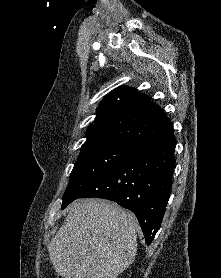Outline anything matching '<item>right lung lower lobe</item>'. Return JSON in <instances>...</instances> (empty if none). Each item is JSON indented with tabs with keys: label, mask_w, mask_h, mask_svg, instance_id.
Returning <instances> with one entry per match:
<instances>
[{
	"label": "right lung lower lobe",
	"mask_w": 221,
	"mask_h": 278,
	"mask_svg": "<svg viewBox=\"0 0 221 278\" xmlns=\"http://www.w3.org/2000/svg\"><path fill=\"white\" fill-rule=\"evenodd\" d=\"M175 145L174 133L134 145L126 159L96 179L78 198L108 199L131 210L149 245L160 228L170 197Z\"/></svg>",
	"instance_id": "98d812e1"
}]
</instances>
